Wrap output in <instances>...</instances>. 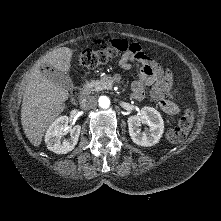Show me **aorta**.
Segmentation results:
<instances>
[{"instance_id": "aorta-1", "label": "aorta", "mask_w": 221, "mask_h": 221, "mask_svg": "<svg viewBox=\"0 0 221 221\" xmlns=\"http://www.w3.org/2000/svg\"><path fill=\"white\" fill-rule=\"evenodd\" d=\"M98 102L101 108H108L110 106V99L107 96H100Z\"/></svg>"}]
</instances>
